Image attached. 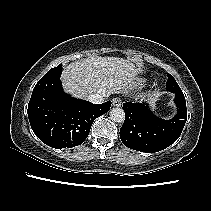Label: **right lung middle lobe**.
<instances>
[{"instance_id":"right-lung-middle-lobe-1","label":"right lung middle lobe","mask_w":211,"mask_h":211,"mask_svg":"<svg viewBox=\"0 0 211 211\" xmlns=\"http://www.w3.org/2000/svg\"><path fill=\"white\" fill-rule=\"evenodd\" d=\"M61 67H62V65L60 64L58 67L50 69L46 74L52 73V72L56 71L57 69H59Z\"/></svg>"}]
</instances>
